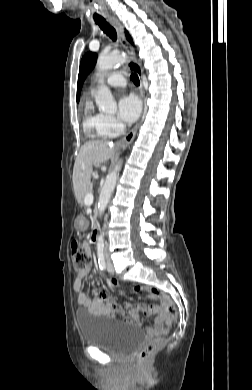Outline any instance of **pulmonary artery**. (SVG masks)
Segmentation results:
<instances>
[{"instance_id":"obj_1","label":"pulmonary artery","mask_w":252,"mask_h":390,"mask_svg":"<svg viewBox=\"0 0 252 390\" xmlns=\"http://www.w3.org/2000/svg\"><path fill=\"white\" fill-rule=\"evenodd\" d=\"M106 83L111 87H123L126 85V78L121 72H114L108 76Z\"/></svg>"}]
</instances>
